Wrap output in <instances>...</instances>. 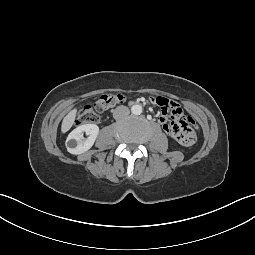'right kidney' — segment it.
Segmentation results:
<instances>
[{"label": "right kidney", "instance_id": "1", "mask_svg": "<svg viewBox=\"0 0 255 255\" xmlns=\"http://www.w3.org/2000/svg\"><path fill=\"white\" fill-rule=\"evenodd\" d=\"M88 137L84 139L83 133ZM99 133V127L96 124H84L75 128L66 139L67 151L71 154H82L88 151L94 144Z\"/></svg>", "mask_w": 255, "mask_h": 255}]
</instances>
